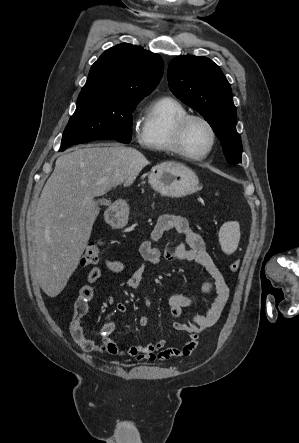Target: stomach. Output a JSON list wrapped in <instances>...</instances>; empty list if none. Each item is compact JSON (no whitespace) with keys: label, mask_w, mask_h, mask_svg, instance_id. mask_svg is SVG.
<instances>
[{"label":"stomach","mask_w":299,"mask_h":443,"mask_svg":"<svg viewBox=\"0 0 299 443\" xmlns=\"http://www.w3.org/2000/svg\"><path fill=\"white\" fill-rule=\"evenodd\" d=\"M151 187L168 197H183L198 190L197 175L188 167L178 164H160L152 168L149 178ZM129 218V208L125 202L114 204V212L108 222L115 228L123 227Z\"/></svg>","instance_id":"1"}]
</instances>
